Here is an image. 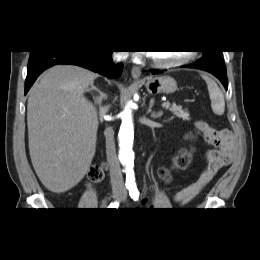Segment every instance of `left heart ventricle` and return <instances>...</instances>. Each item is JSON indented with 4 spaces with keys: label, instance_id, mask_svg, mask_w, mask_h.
Masks as SVG:
<instances>
[{
    "label": "left heart ventricle",
    "instance_id": "b2bd125f",
    "mask_svg": "<svg viewBox=\"0 0 260 260\" xmlns=\"http://www.w3.org/2000/svg\"><path fill=\"white\" fill-rule=\"evenodd\" d=\"M155 59L159 61H170L175 60L184 55L183 52H170V51H159L151 54Z\"/></svg>",
    "mask_w": 260,
    "mask_h": 260
}]
</instances>
